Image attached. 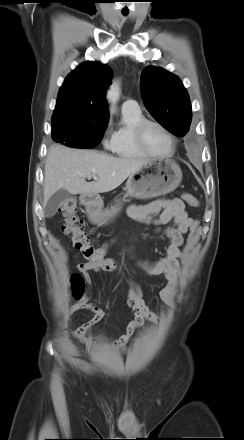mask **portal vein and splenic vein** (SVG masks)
Returning a JSON list of instances; mask_svg holds the SVG:
<instances>
[{"mask_svg": "<svg viewBox=\"0 0 244 440\" xmlns=\"http://www.w3.org/2000/svg\"><path fill=\"white\" fill-rule=\"evenodd\" d=\"M88 178H93L94 180H97L98 178L95 175H91Z\"/></svg>", "mask_w": 244, "mask_h": 440, "instance_id": "portal-vein-and-splenic-vein-1", "label": "portal vein and splenic vein"}]
</instances>
